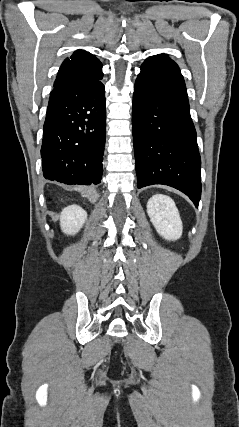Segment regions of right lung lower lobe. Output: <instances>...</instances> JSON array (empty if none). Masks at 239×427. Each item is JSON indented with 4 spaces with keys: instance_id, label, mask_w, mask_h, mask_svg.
<instances>
[{
    "instance_id": "1",
    "label": "right lung lower lobe",
    "mask_w": 239,
    "mask_h": 427,
    "mask_svg": "<svg viewBox=\"0 0 239 427\" xmlns=\"http://www.w3.org/2000/svg\"><path fill=\"white\" fill-rule=\"evenodd\" d=\"M98 72L54 85L41 147L46 179L98 184L106 136L105 88Z\"/></svg>"
}]
</instances>
